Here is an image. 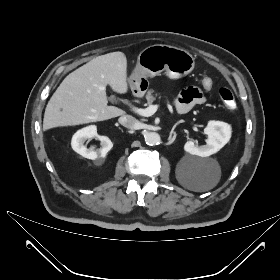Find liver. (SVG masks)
<instances>
[{
  "instance_id": "1",
  "label": "liver",
  "mask_w": 280,
  "mask_h": 280,
  "mask_svg": "<svg viewBox=\"0 0 280 280\" xmlns=\"http://www.w3.org/2000/svg\"><path fill=\"white\" fill-rule=\"evenodd\" d=\"M107 85L120 94L128 90L127 59L123 52L98 56L70 73L46 106L43 130L125 115L122 109L107 105Z\"/></svg>"
}]
</instances>
